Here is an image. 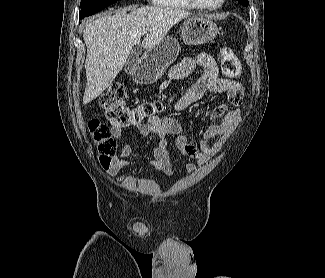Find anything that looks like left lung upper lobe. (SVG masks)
Masks as SVG:
<instances>
[{
	"mask_svg": "<svg viewBox=\"0 0 325 278\" xmlns=\"http://www.w3.org/2000/svg\"><path fill=\"white\" fill-rule=\"evenodd\" d=\"M238 2L242 5H248V0H238Z\"/></svg>",
	"mask_w": 325,
	"mask_h": 278,
	"instance_id": "left-lung-upper-lobe-1",
	"label": "left lung upper lobe"
}]
</instances>
